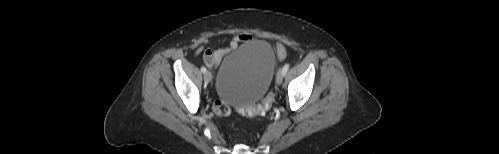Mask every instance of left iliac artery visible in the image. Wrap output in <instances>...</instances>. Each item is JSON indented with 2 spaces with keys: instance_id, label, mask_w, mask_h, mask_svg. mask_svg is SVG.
Masks as SVG:
<instances>
[{
  "instance_id": "1",
  "label": "left iliac artery",
  "mask_w": 499,
  "mask_h": 154,
  "mask_svg": "<svg viewBox=\"0 0 499 154\" xmlns=\"http://www.w3.org/2000/svg\"><path fill=\"white\" fill-rule=\"evenodd\" d=\"M290 65L289 64H285L284 67L282 68V72H283V75H285L289 69Z\"/></svg>"
}]
</instances>
